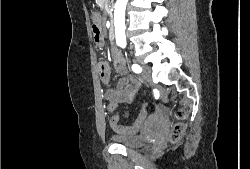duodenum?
<instances>
[{
  "instance_id": "duodenum-1",
  "label": "duodenum",
  "mask_w": 250,
  "mask_h": 169,
  "mask_svg": "<svg viewBox=\"0 0 250 169\" xmlns=\"http://www.w3.org/2000/svg\"><path fill=\"white\" fill-rule=\"evenodd\" d=\"M108 36H109V40L111 42L115 41L116 39V36H115V28H114V25H110L109 28H108Z\"/></svg>"
}]
</instances>
